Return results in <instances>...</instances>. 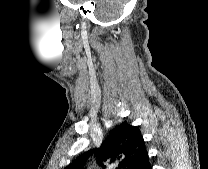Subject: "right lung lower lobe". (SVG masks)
<instances>
[{"label": "right lung lower lobe", "mask_w": 208, "mask_h": 169, "mask_svg": "<svg viewBox=\"0 0 208 169\" xmlns=\"http://www.w3.org/2000/svg\"><path fill=\"white\" fill-rule=\"evenodd\" d=\"M139 169H152L149 158L143 163V165Z\"/></svg>", "instance_id": "obj_1"}]
</instances>
